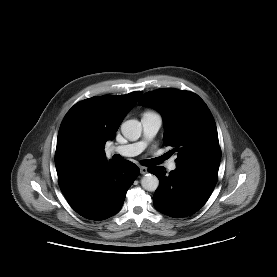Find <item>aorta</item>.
Returning <instances> with one entry per match:
<instances>
[{
	"label": "aorta",
	"mask_w": 277,
	"mask_h": 277,
	"mask_svg": "<svg viewBox=\"0 0 277 277\" xmlns=\"http://www.w3.org/2000/svg\"><path fill=\"white\" fill-rule=\"evenodd\" d=\"M121 132L126 139L136 141L141 136L142 125L138 120H127L122 123ZM141 185L145 190L153 192L159 186V179L153 174H146L141 179Z\"/></svg>",
	"instance_id": "1"
}]
</instances>
